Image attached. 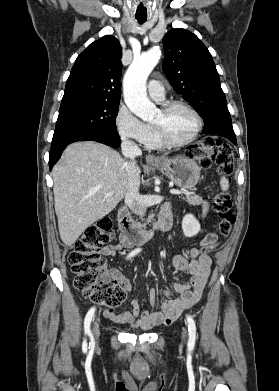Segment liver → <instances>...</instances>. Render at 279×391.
Masks as SVG:
<instances>
[{
    "label": "liver",
    "instance_id": "liver-1",
    "mask_svg": "<svg viewBox=\"0 0 279 391\" xmlns=\"http://www.w3.org/2000/svg\"><path fill=\"white\" fill-rule=\"evenodd\" d=\"M63 158L52 171L53 192L60 237L71 246L124 198L128 176L120 154L94 141L69 145Z\"/></svg>",
    "mask_w": 279,
    "mask_h": 391
}]
</instances>
